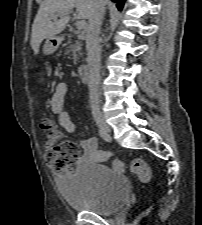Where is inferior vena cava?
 Returning <instances> with one entry per match:
<instances>
[{
	"mask_svg": "<svg viewBox=\"0 0 202 225\" xmlns=\"http://www.w3.org/2000/svg\"><path fill=\"white\" fill-rule=\"evenodd\" d=\"M105 12L104 0H95L94 10L89 18L86 35L87 63L89 68V102L92 110H99L100 82V26Z\"/></svg>",
	"mask_w": 202,
	"mask_h": 225,
	"instance_id": "obj_1",
	"label": "inferior vena cava"
}]
</instances>
